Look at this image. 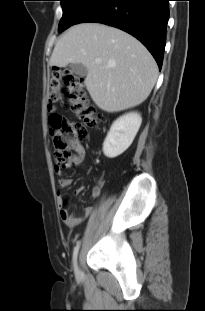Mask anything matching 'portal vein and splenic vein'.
<instances>
[{
    "label": "portal vein and splenic vein",
    "mask_w": 205,
    "mask_h": 311,
    "mask_svg": "<svg viewBox=\"0 0 205 311\" xmlns=\"http://www.w3.org/2000/svg\"><path fill=\"white\" fill-rule=\"evenodd\" d=\"M95 62H96V63H100L101 60H100V59H96Z\"/></svg>",
    "instance_id": "obj_1"
}]
</instances>
